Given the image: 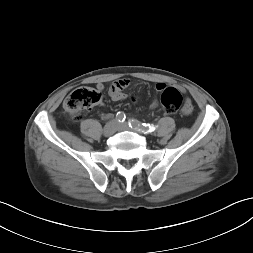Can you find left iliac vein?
<instances>
[{
    "label": "left iliac vein",
    "instance_id": "left-iliac-vein-1",
    "mask_svg": "<svg viewBox=\"0 0 253 253\" xmlns=\"http://www.w3.org/2000/svg\"><path fill=\"white\" fill-rule=\"evenodd\" d=\"M119 130H133L137 133H143L140 129L138 128H130L127 123L119 124Z\"/></svg>",
    "mask_w": 253,
    "mask_h": 253
}]
</instances>
